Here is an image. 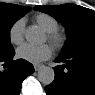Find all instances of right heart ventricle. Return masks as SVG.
I'll return each mask as SVG.
<instances>
[{
    "mask_svg": "<svg viewBox=\"0 0 95 95\" xmlns=\"http://www.w3.org/2000/svg\"><path fill=\"white\" fill-rule=\"evenodd\" d=\"M36 23L47 33L58 30V21L51 15L40 13L35 17Z\"/></svg>",
    "mask_w": 95,
    "mask_h": 95,
    "instance_id": "e07e8e85",
    "label": "right heart ventricle"
}]
</instances>
